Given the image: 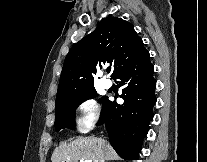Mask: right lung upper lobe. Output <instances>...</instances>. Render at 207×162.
<instances>
[{
    "label": "right lung upper lobe",
    "instance_id": "1",
    "mask_svg": "<svg viewBox=\"0 0 207 162\" xmlns=\"http://www.w3.org/2000/svg\"><path fill=\"white\" fill-rule=\"evenodd\" d=\"M147 54L132 24L121 18H106L67 54L56 99L94 90V74L105 63L113 65L114 78Z\"/></svg>",
    "mask_w": 207,
    "mask_h": 162
}]
</instances>
